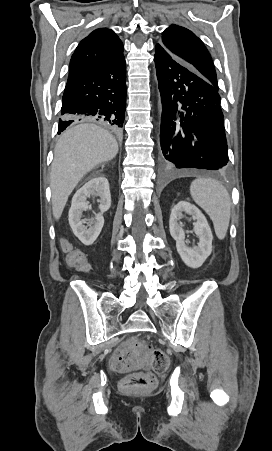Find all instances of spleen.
Listing matches in <instances>:
<instances>
[{
    "instance_id": "spleen-1",
    "label": "spleen",
    "mask_w": 272,
    "mask_h": 451,
    "mask_svg": "<svg viewBox=\"0 0 272 451\" xmlns=\"http://www.w3.org/2000/svg\"><path fill=\"white\" fill-rule=\"evenodd\" d=\"M190 194L211 218L217 237L224 239L231 216L230 196L225 186L211 178H198L193 180Z\"/></svg>"
}]
</instances>
